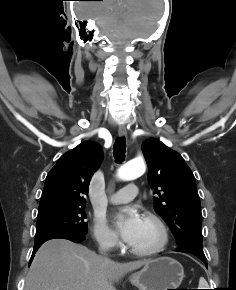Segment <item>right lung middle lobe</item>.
Here are the masks:
<instances>
[{
	"instance_id": "1",
	"label": "right lung middle lobe",
	"mask_w": 236,
	"mask_h": 290,
	"mask_svg": "<svg viewBox=\"0 0 236 290\" xmlns=\"http://www.w3.org/2000/svg\"><path fill=\"white\" fill-rule=\"evenodd\" d=\"M85 205L51 206L39 209L36 237L39 241L58 234L86 235Z\"/></svg>"
}]
</instances>
